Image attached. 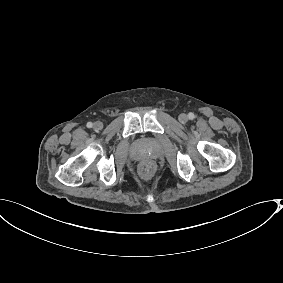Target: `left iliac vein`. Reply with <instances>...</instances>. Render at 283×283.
<instances>
[{
	"mask_svg": "<svg viewBox=\"0 0 283 283\" xmlns=\"http://www.w3.org/2000/svg\"><path fill=\"white\" fill-rule=\"evenodd\" d=\"M178 119L181 123H186L188 121V116L184 113H181L179 115Z\"/></svg>",
	"mask_w": 283,
	"mask_h": 283,
	"instance_id": "1",
	"label": "left iliac vein"
}]
</instances>
